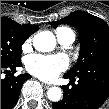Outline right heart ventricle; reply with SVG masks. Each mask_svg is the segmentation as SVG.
Segmentation results:
<instances>
[{
  "label": "right heart ventricle",
  "mask_w": 109,
  "mask_h": 109,
  "mask_svg": "<svg viewBox=\"0 0 109 109\" xmlns=\"http://www.w3.org/2000/svg\"><path fill=\"white\" fill-rule=\"evenodd\" d=\"M55 32H56V35H59L64 32H72L73 33V31L70 28L64 27V26L58 27Z\"/></svg>",
  "instance_id": "e07e8e85"
}]
</instances>
